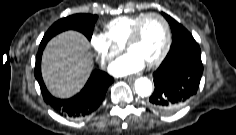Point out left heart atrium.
Wrapping results in <instances>:
<instances>
[{
	"label": "left heart atrium",
	"mask_w": 236,
	"mask_h": 135,
	"mask_svg": "<svg viewBox=\"0 0 236 135\" xmlns=\"http://www.w3.org/2000/svg\"><path fill=\"white\" fill-rule=\"evenodd\" d=\"M144 61L134 53L127 54L116 59L109 67L111 74L115 76H125L137 73L144 66Z\"/></svg>",
	"instance_id": "obj_1"
}]
</instances>
